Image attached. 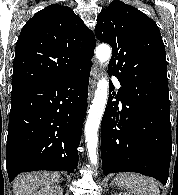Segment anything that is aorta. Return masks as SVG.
Here are the masks:
<instances>
[{
    "mask_svg": "<svg viewBox=\"0 0 178 195\" xmlns=\"http://www.w3.org/2000/svg\"><path fill=\"white\" fill-rule=\"evenodd\" d=\"M96 57L98 58L100 63L108 62L111 57L110 46L107 44H100L96 48ZM108 89V80L105 77H102L97 84V89L88 111V117L85 124V141L90 162L94 166H96L98 162V129L107 103Z\"/></svg>",
    "mask_w": 178,
    "mask_h": 195,
    "instance_id": "aorta-1",
    "label": "aorta"
}]
</instances>
